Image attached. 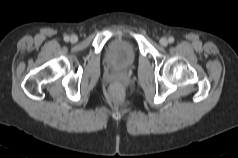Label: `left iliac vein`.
I'll use <instances>...</instances> for the list:
<instances>
[{"label": "left iliac vein", "mask_w": 238, "mask_h": 158, "mask_svg": "<svg viewBox=\"0 0 238 158\" xmlns=\"http://www.w3.org/2000/svg\"><path fill=\"white\" fill-rule=\"evenodd\" d=\"M159 42L162 46L168 45V40L165 37H162Z\"/></svg>", "instance_id": "left-iliac-vein-1"}]
</instances>
